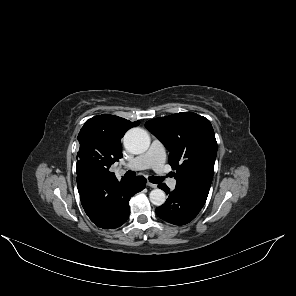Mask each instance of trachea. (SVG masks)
<instances>
[{"label":"trachea","instance_id":"3493384b","mask_svg":"<svg viewBox=\"0 0 296 296\" xmlns=\"http://www.w3.org/2000/svg\"><path fill=\"white\" fill-rule=\"evenodd\" d=\"M126 174H127V177H131V178L135 176V173L132 171H128ZM149 181L153 184H158L163 181V178L157 177V176H150Z\"/></svg>","mask_w":296,"mask_h":296}]
</instances>
